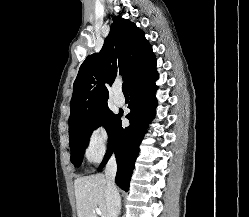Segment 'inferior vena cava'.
Segmentation results:
<instances>
[{
    "instance_id": "1",
    "label": "inferior vena cava",
    "mask_w": 249,
    "mask_h": 217,
    "mask_svg": "<svg viewBox=\"0 0 249 217\" xmlns=\"http://www.w3.org/2000/svg\"><path fill=\"white\" fill-rule=\"evenodd\" d=\"M117 172V164L113 155L108 161L105 168L106 178V204L109 211V217H118L121 209V199L115 185V176Z\"/></svg>"
}]
</instances>
